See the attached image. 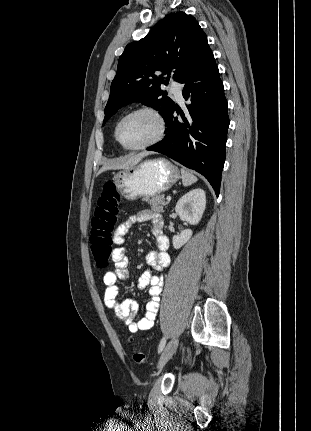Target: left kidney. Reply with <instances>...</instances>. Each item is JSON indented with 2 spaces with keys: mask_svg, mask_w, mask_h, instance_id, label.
<instances>
[{
  "mask_svg": "<svg viewBox=\"0 0 311 431\" xmlns=\"http://www.w3.org/2000/svg\"><path fill=\"white\" fill-rule=\"evenodd\" d=\"M205 208V192L204 190H201V188H196V190L187 192L185 196H182V198L178 200L175 206V212L178 214L180 219H183V221H188V223L196 225L203 216ZM192 233V229H183L180 235H173L172 243L175 249L182 247V245L190 239Z\"/></svg>",
  "mask_w": 311,
  "mask_h": 431,
  "instance_id": "1",
  "label": "left kidney"
}]
</instances>
